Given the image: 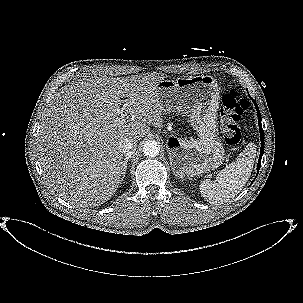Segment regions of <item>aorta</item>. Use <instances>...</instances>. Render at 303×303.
Instances as JSON below:
<instances>
[{"mask_svg":"<svg viewBox=\"0 0 303 303\" xmlns=\"http://www.w3.org/2000/svg\"><path fill=\"white\" fill-rule=\"evenodd\" d=\"M143 152L147 157H156L159 155L160 147L156 141L150 140L145 142Z\"/></svg>","mask_w":303,"mask_h":303,"instance_id":"1","label":"aorta"}]
</instances>
